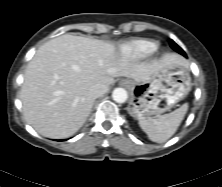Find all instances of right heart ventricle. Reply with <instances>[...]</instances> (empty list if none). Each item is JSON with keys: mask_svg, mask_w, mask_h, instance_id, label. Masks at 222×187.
<instances>
[{"mask_svg": "<svg viewBox=\"0 0 222 187\" xmlns=\"http://www.w3.org/2000/svg\"><path fill=\"white\" fill-rule=\"evenodd\" d=\"M156 50V43L148 39L127 41L121 45V54L132 60L143 59Z\"/></svg>", "mask_w": 222, "mask_h": 187, "instance_id": "right-heart-ventricle-1", "label": "right heart ventricle"}]
</instances>
